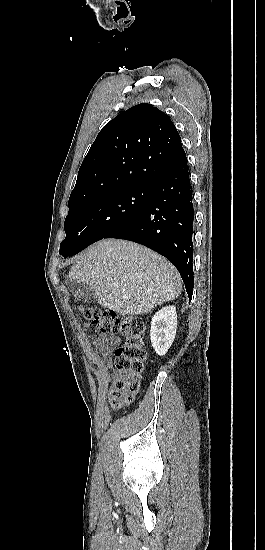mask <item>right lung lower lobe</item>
I'll use <instances>...</instances> for the list:
<instances>
[{
	"label": "right lung lower lobe",
	"instance_id": "right-lung-lower-lobe-1",
	"mask_svg": "<svg viewBox=\"0 0 265 550\" xmlns=\"http://www.w3.org/2000/svg\"><path fill=\"white\" fill-rule=\"evenodd\" d=\"M193 221V191L185 154L156 180L144 210L105 238L137 242L166 257L178 269L190 300Z\"/></svg>",
	"mask_w": 265,
	"mask_h": 550
}]
</instances>
